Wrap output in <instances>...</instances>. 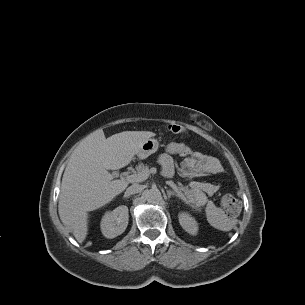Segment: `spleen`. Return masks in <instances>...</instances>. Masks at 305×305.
<instances>
[{"label": "spleen", "mask_w": 305, "mask_h": 305, "mask_svg": "<svg viewBox=\"0 0 305 305\" xmlns=\"http://www.w3.org/2000/svg\"><path fill=\"white\" fill-rule=\"evenodd\" d=\"M212 213L223 216V212L220 209H214ZM217 227L220 228L221 230H227L225 224L223 223H218Z\"/></svg>", "instance_id": "spleen-1"}]
</instances>
